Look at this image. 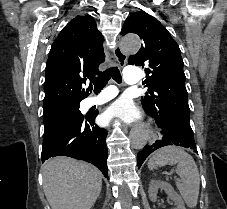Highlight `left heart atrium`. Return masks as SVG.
<instances>
[{
    "label": "left heart atrium",
    "mask_w": 227,
    "mask_h": 209,
    "mask_svg": "<svg viewBox=\"0 0 227 209\" xmlns=\"http://www.w3.org/2000/svg\"><path fill=\"white\" fill-rule=\"evenodd\" d=\"M140 113L137 107L128 100H118L110 105L105 113L104 120L118 118L125 122H132L139 117Z\"/></svg>",
    "instance_id": "obj_1"
}]
</instances>
